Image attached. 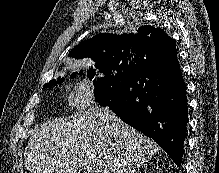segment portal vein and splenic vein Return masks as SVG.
Segmentation results:
<instances>
[{
    "label": "portal vein and splenic vein",
    "instance_id": "1",
    "mask_svg": "<svg viewBox=\"0 0 219 173\" xmlns=\"http://www.w3.org/2000/svg\"><path fill=\"white\" fill-rule=\"evenodd\" d=\"M87 171H88V173H90V171H91V170H90V169H88Z\"/></svg>",
    "mask_w": 219,
    "mask_h": 173
}]
</instances>
